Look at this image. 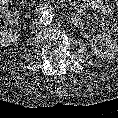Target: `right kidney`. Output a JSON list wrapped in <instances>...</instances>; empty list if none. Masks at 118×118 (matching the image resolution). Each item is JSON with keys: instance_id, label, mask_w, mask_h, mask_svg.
<instances>
[{"instance_id": "right-kidney-1", "label": "right kidney", "mask_w": 118, "mask_h": 118, "mask_svg": "<svg viewBox=\"0 0 118 118\" xmlns=\"http://www.w3.org/2000/svg\"><path fill=\"white\" fill-rule=\"evenodd\" d=\"M19 37L17 31L9 29L0 32V45L8 46L11 43L15 42Z\"/></svg>"}]
</instances>
